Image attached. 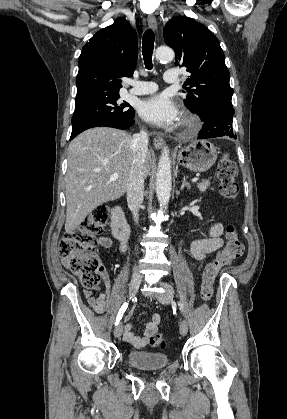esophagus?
I'll return each instance as SVG.
<instances>
[{
  "label": "esophagus",
  "mask_w": 287,
  "mask_h": 419,
  "mask_svg": "<svg viewBox=\"0 0 287 419\" xmlns=\"http://www.w3.org/2000/svg\"><path fill=\"white\" fill-rule=\"evenodd\" d=\"M147 21H148V24H149L150 28H152L153 30L156 31L157 28H158V25H157V21H156L155 16L154 15H149L148 18H147ZM153 144H154L156 149H161L164 146L165 142H164L162 136L157 135V136H154V138H153Z\"/></svg>",
  "instance_id": "obj_1"
}]
</instances>
